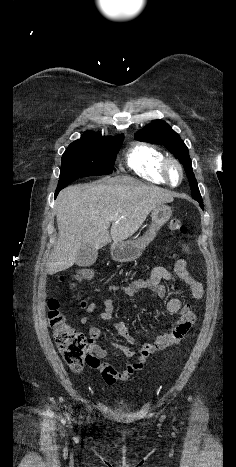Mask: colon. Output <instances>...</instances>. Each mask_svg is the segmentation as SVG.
<instances>
[{"label":"colon","instance_id":"obj_1","mask_svg":"<svg viewBox=\"0 0 236 467\" xmlns=\"http://www.w3.org/2000/svg\"><path fill=\"white\" fill-rule=\"evenodd\" d=\"M169 228L176 237H183L187 234V228L178 218L169 221ZM94 276V269L90 267L79 268L75 279L87 280ZM86 304L83 302L82 306ZM48 320L53 330L55 343L62 355L66 365L73 371L79 372L88 361L87 340L84 334L74 330L68 323L66 316L60 310L57 299L51 298L48 301Z\"/></svg>","mask_w":236,"mask_h":467}]
</instances>
